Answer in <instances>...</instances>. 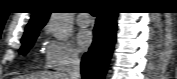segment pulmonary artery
<instances>
[{
  "mask_svg": "<svg viewBox=\"0 0 177 79\" xmlns=\"http://www.w3.org/2000/svg\"><path fill=\"white\" fill-rule=\"evenodd\" d=\"M77 23L80 26H88L90 24V19L87 14H79L77 16Z\"/></svg>",
  "mask_w": 177,
  "mask_h": 79,
  "instance_id": "1",
  "label": "pulmonary artery"
}]
</instances>
